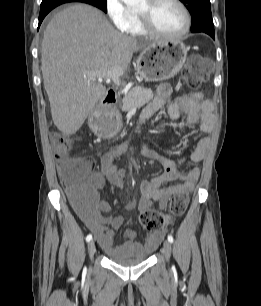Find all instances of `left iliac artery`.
<instances>
[{"label": "left iliac artery", "instance_id": "left-iliac-artery-1", "mask_svg": "<svg viewBox=\"0 0 261 306\" xmlns=\"http://www.w3.org/2000/svg\"><path fill=\"white\" fill-rule=\"evenodd\" d=\"M167 239H168V241H169L170 243H173V241H174L172 235H168Z\"/></svg>", "mask_w": 261, "mask_h": 306}]
</instances>
